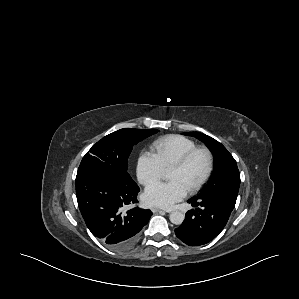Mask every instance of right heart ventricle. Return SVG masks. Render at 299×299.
Here are the masks:
<instances>
[{
    "label": "right heart ventricle",
    "instance_id": "right-heart-ventricle-1",
    "mask_svg": "<svg viewBox=\"0 0 299 299\" xmlns=\"http://www.w3.org/2000/svg\"><path fill=\"white\" fill-rule=\"evenodd\" d=\"M152 147L160 164L166 171L185 153L197 147V144L185 136L172 134L155 140Z\"/></svg>",
    "mask_w": 299,
    "mask_h": 299
}]
</instances>
